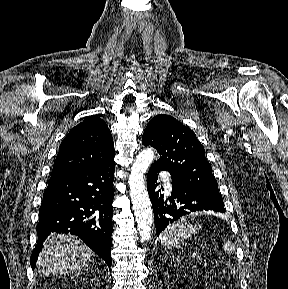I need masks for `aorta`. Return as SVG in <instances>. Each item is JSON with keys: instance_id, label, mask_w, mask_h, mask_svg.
Wrapping results in <instances>:
<instances>
[{"instance_id": "1", "label": "aorta", "mask_w": 288, "mask_h": 289, "mask_svg": "<svg viewBox=\"0 0 288 289\" xmlns=\"http://www.w3.org/2000/svg\"><path fill=\"white\" fill-rule=\"evenodd\" d=\"M154 156V151L150 148L141 151L131 167L128 182L132 207L142 242L150 239L154 222L151 202L144 184L145 173Z\"/></svg>"}]
</instances>
